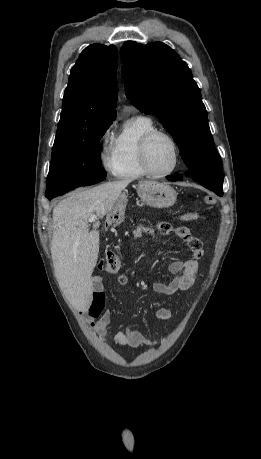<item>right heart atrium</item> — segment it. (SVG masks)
Listing matches in <instances>:
<instances>
[{"mask_svg": "<svg viewBox=\"0 0 261 459\" xmlns=\"http://www.w3.org/2000/svg\"><path fill=\"white\" fill-rule=\"evenodd\" d=\"M112 132V127L109 126L102 134V145L103 150L101 152V162L105 170H107L111 174H115L116 171V162L112 152L111 147H109L108 143L110 140Z\"/></svg>", "mask_w": 261, "mask_h": 459, "instance_id": "d8ad5b80", "label": "right heart atrium"}]
</instances>
